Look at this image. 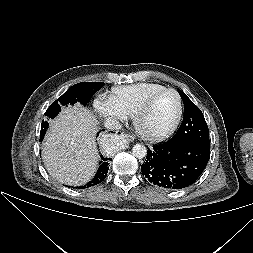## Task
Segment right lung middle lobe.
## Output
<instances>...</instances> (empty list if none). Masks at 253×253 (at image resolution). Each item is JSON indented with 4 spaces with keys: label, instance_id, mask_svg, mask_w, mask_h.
Returning a JSON list of instances; mask_svg holds the SVG:
<instances>
[{
    "label": "right lung middle lobe",
    "instance_id": "1",
    "mask_svg": "<svg viewBox=\"0 0 253 253\" xmlns=\"http://www.w3.org/2000/svg\"><path fill=\"white\" fill-rule=\"evenodd\" d=\"M105 83L81 82L73 85L61 97L54 101L45 112V116L53 119L61 110V107L76 102L82 103L84 106L90 101L91 97L104 86ZM48 128V122L42 121L40 138L43 139Z\"/></svg>",
    "mask_w": 253,
    "mask_h": 253
}]
</instances>
